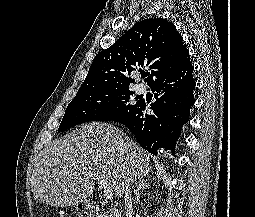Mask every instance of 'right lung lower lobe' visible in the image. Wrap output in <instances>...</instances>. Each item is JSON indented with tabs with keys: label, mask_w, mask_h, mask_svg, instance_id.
I'll use <instances>...</instances> for the list:
<instances>
[{
	"label": "right lung lower lobe",
	"mask_w": 255,
	"mask_h": 217,
	"mask_svg": "<svg viewBox=\"0 0 255 217\" xmlns=\"http://www.w3.org/2000/svg\"><path fill=\"white\" fill-rule=\"evenodd\" d=\"M192 72L193 66L187 59L149 84L157 92L156 101L150 105L152 115L146 114V103L139 101L133 111L114 120L126 125L140 146L150 153L157 154V150L163 147L172 150L175 156V142L183 125L188 122L189 110L195 102Z\"/></svg>",
	"instance_id": "98d812e1"
}]
</instances>
